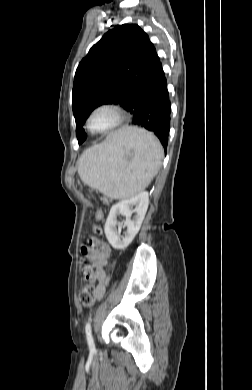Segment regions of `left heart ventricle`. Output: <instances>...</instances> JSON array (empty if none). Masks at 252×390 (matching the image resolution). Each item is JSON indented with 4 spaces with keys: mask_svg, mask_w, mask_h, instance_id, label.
Masks as SVG:
<instances>
[{
    "mask_svg": "<svg viewBox=\"0 0 252 390\" xmlns=\"http://www.w3.org/2000/svg\"><path fill=\"white\" fill-rule=\"evenodd\" d=\"M113 120V116L106 111H101L95 114L92 119V126L96 129H104L108 127Z\"/></svg>",
    "mask_w": 252,
    "mask_h": 390,
    "instance_id": "left-heart-ventricle-1",
    "label": "left heart ventricle"
}]
</instances>
